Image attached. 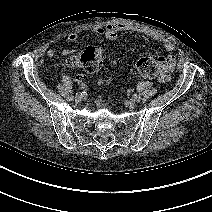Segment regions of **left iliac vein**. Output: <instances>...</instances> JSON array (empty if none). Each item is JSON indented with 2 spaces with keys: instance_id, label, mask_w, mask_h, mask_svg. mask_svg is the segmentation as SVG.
<instances>
[{
  "instance_id": "obj_1",
  "label": "left iliac vein",
  "mask_w": 212,
  "mask_h": 212,
  "mask_svg": "<svg viewBox=\"0 0 212 212\" xmlns=\"http://www.w3.org/2000/svg\"><path fill=\"white\" fill-rule=\"evenodd\" d=\"M127 107H129L130 109L135 108L136 106V101L135 99H130L129 101L126 102Z\"/></svg>"
}]
</instances>
